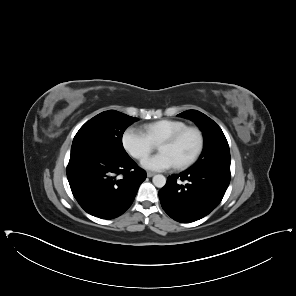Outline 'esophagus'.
I'll return each instance as SVG.
<instances>
[{"label":"esophagus","instance_id":"34e87169","mask_svg":"<svg viewBox=\"0 0 296 296\" xmlns=\"http://www.w3.org/2000/svg\"><path fill=\"white\" fill-rule=\"evenodd\" d=\"M154 175H155V173H153V172H150V171L147 172V177H149V178L154 176Z\"/></svg>","mask_w":296,"mask_h":296}]
</instances>
